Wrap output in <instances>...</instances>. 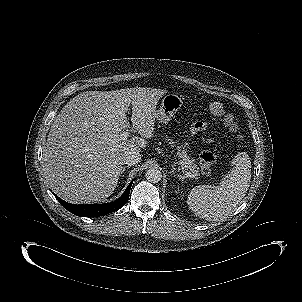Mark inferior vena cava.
<instances>
[{"instance_id":"obj_1","label":"inferior vena cava","mask_w":302,"mask_h":302,"mask_svg":"<svg viewBox=\"0 0 302 302\" xmlns=\"http://www.w3.org/2000/svg\"><path fill=\"white\" fill-rule=\"evenodd\" d=\"M141 160V155L137 151H130L126 153L125 158H124V164L128 166H134L138 164Z\"/></svg>"}]
</instances>
